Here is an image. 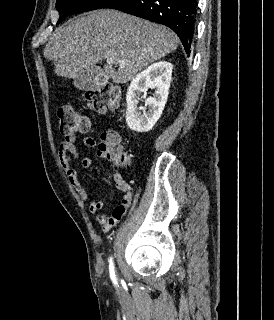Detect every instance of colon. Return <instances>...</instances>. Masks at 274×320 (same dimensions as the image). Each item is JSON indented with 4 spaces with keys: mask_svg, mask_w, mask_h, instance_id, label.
Masks as SVG:
<instances>
[{
    "mask_svg": "<svg viewBox=\"0 0 274 320\" xmlns=\"http://www.w3.org/2000/svg\"><path fill=\"white\" fill-rule=\"evenodd\" d=\"M116 88L107 85L103 88H94L84 91L82 97L85 104L94 112L105 113L113 106ZM57 117L61 132L65 136H73L80 133L83 120H89L82 112L69 104H63L58 108ZM99 148L108 154L116 163L122 160L124 152L121 139L116 132L106 131L100 136Z\"/></svg>",
    "mask_w": 274,
    "mask_h": 320,
    "instance_id": "1",
    "label": "colon"
}]
</instances>
